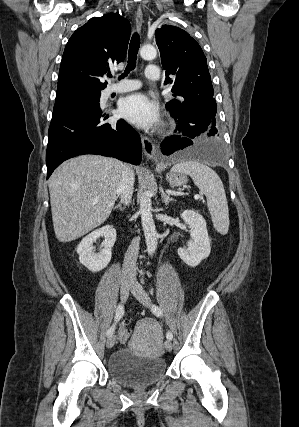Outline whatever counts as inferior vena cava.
Masks as SVG:
<instances>
[{"instance_id": "obj_1", "label": "inferior vena cava", "mask_w": 299, "mask_h": 427, "mask_svg": "<svg viewBox=\"0 0 299 427\" xmlns=\"http://www.w3.org/2000/svg\"><path fill=\"white\" fill-rule=\"evenodd\" d=\"M134 186V172L127 164L124 165L122 179L118 187L121 202L128 205L131 202ZM139 238H134L129 245L123 262V275L136 274V261L139 253Z\"/></svg>"}]
</instances>
